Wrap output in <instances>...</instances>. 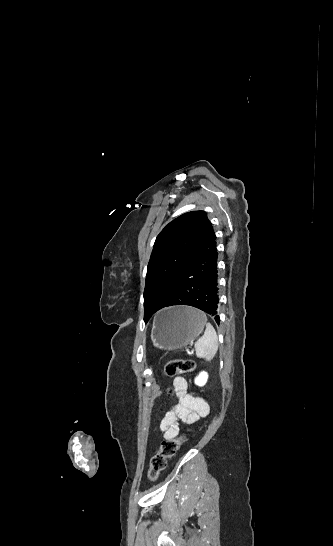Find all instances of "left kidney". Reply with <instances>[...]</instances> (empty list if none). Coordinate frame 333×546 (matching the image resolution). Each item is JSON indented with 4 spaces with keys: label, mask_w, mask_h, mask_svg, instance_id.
Masks as SVG:
<instances>
[{
    "label": "left kidney",
    "mask_w": 333,
    "mask_h": 546,
    "mask_svg": "<svg viewBox=\"0 0 333 546\" xmlns=\"http://www.w3.org/2000/svg\"><path fill=\"white\" fill-rule=\"evenodd\" d=\"M208 380V374L205 371H202L199 376L195 378V384L198 386H204Z\"/></svg>",
    "instance_id": "obj_1"
}]
</instances>
